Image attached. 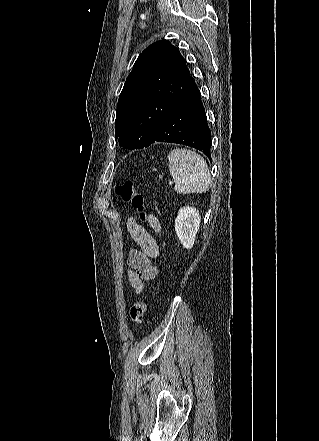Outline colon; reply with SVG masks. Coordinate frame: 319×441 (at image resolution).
<instances>
[{"instance_id": "colon-1", "label": "colon", "mask_w": 319, "mask_h": 441, "mask_svg": "<svg viewBox=\"0 0 319 441\" xmlns=\"http://www.w3.org/2000/svg\"><path fill=\"white\" fill-rule=\"evenodd\" d=\"M116 194L124 202H130L138 211L141 220H147L146 204L144 195L139 192L133 182L125 181L116 188ZM147 307L146 300L143 298L135 302L130 308V318L135 324H140Z\"/></svg>"}]
</instances>
